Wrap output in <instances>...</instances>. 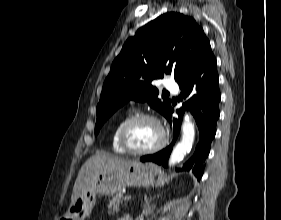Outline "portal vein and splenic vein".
Returning <instances> with one entry per match:
<instances>
[{"label":"portal vein and splenic vein","mask_w":281,"mask_h":220,"mask_svg":"<svg viewBox=\"0 0 281 220\" xmlns=\"http://www.w3.org/2000/svg\"><path fill=\"white\" fill-rule=\"evenodd\" d=\"M131 199V196H126V197H124V201H129Z\"/></svg>","instance_id":"18ae733b"}]
</instances>
